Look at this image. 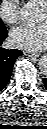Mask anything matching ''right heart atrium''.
Here are the masks:
<instances>
[{
    "label": "right heart atrium",
    "mask_w": 47,
    "mask_h": 129,
    "mask_svg": "<svg viewBox=\"0 0 47 129\" xmlns=\"http://www.w3.org/2000/svg\"><path fill=\"white\" fill-rule=\"evenodd\" d=\"M20 1L1 0L0 18L7 24L13 25L19 20Z\"/></svg>",
    "instance_id": "d8ad5b80"
}]
</instances>
